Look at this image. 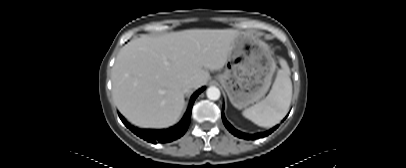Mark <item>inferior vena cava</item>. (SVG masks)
Masks as SVG:
<instances>
[{
    "mask_svg": "<svg viewBox=\"0 0 406 168\" xmlns=\"http://www.w3.org/2000/svg\"><path fill=\"white\" fill-rule=\"evenodd\" d=\"M193 88H194V83H193V81H187V82L184 84L183 91H184L185 94H187V93H189Z\"/></svg>",
    "mask_w": 406,
    "mask_h": 168,
    "instance_id": "1",
    "label": "inferior vena cava"
}]
</instances>
